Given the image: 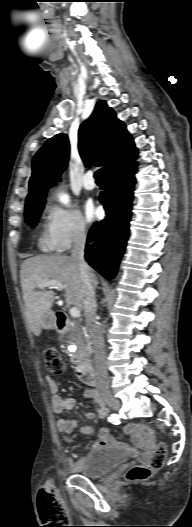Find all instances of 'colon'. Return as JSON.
Here are the masks:
<instances>
[{
	"label": "colon",
	"mask_w": 192,
	"mask_h": 527,
	"mask_svg": "<svg viewBox=\"0 0 192 527\" xmlns=\"http://www.w3.org/2000/svg\"><path fill=\"white\" fill-rule=\"evenodd\" d=\"M44 360L48 371L55 374H62L65 370V362L61 357L59 351L55 347H47L43 351ZM167 455V448L164 443H160L153 455L150 464L146 466H133L127 472V478L130 480H146L150 478L157 470L162 468L165 463ZM40 508L45 512V505L52 503L55 505V498L53 494V488L50 482H46L39 495ZM58 509L66 513V510L62 506H57Z\"/></svg>",
	"instance_id": "5ec220e1"
}]
</instances>
